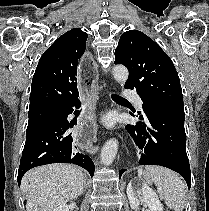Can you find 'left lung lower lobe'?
<instances>
[{"mask_svg":"<svg viewBox=\"0 0 209 211\" xmlns=\"http://www.w3.org/2000/svg\"><path fill=\"white\" fill-rule=\"evenodd\" d=\"M144 112V118L140 114L137 115L140 122L136 125H126V130L142 150L139 164L170 168L182 175L190 189L184 107L149 105L144 108ZM124 172L125 170H121L119 177Z\"/></svg>","mask_w":209,"mask_h":211,"instance_id":"0a47b994","label":"left lung lower lobe"}]
</instances>
